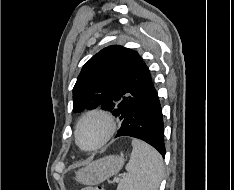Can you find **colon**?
<instances>
[{
  "instance_id": "1",
  "label": "colon",
  "mask_w": 234,
  "mask_h": 190,
  "mask_svg": "<svg viewBox=\"0 0 234 190\" xmlns=\"http://www.w3.org/2000/svg\"><path fill=\"white\" fill-rule=\"evenodd\" d=\"M81 190H104V188L102 186H95V187L83 188Z\"/></svg>"
}]
</instances>
